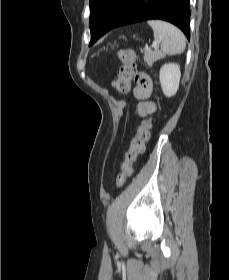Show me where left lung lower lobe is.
I'll use <instances>...</instances> for the list:
<instances>
[{"label":"left lung lower lobe","instance_id":"obj_1","mask_svg":"<svg viewBox=\"0 0 229 280\" xmlns=\"http://www.w3.org/2000/svg\"><path fill=\"white\" fill-rule=\"evenodd\" d=\"M151 19L165 20L176 25L190 39L189 0H133L114 28Z\"/></svg>","mask_w":229,"mask_h":280}]
</instances>
